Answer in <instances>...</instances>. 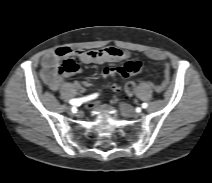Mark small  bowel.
I'll return each instance as SVG.
<instances>
[{
    "label": "small bowel",
    "mask_w": 212,
    "mask_h": 183,
    "mask_svg": "<svg viewBox=\"0 0 212 183\" xmlns=\"http://www.w3.org/2000/svg\"><path fill=\"white\" fill-rule=\"evenodd\" d=\"M76 57L83 64H103V63H115L122 60H126L130 57V53L128 51L121 50L119 48L108 46L99 50L92 51H83V50H72L70 48L64 47L55 50L54 52L48 53L43 57L42 60V72L41 76L44 82L48 85V87L55 91L60 87L62 82V77L57 75V68L61 65L62 60ZM147 57L158 61V62H166V56L160 51L151 50L147 52ZM143 66L140 62L128 61L124 65L117 67H107L102 71V75L104 77H114V76H122L128 77L135 74L142 73ZM170 79V71L169 67L166 65L164 70V78L162 83L157 86L158 91L164 90L167 86ZM92 83L90 81H84L82 83L76 82L75 86L78 90L82 91L85 87L91 86ZM114 89L118 90V85H114Z\"/></svg>",
    "instance_id": "obj_1"
}]
</instances>
